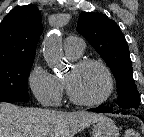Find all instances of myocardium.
Listing matches in <instances>:
<instances>
[{
    "instance_id": "1",
    "label": "myocardium",
    "mask_w": 144,
    "mask_h": 137,
    "mask_svg": "<svg viewBox=\"0 0 144 137\" xmlns=\"http://www.w3.org/2000/svg\"><path fill=\"white\" fill-rule=\"evenodd\" d=\"M88 65H95L97 67H99L105 74L106 78H107V90L104 93V95L94 101H83L80 100L78 98L75 97L70 84L68 82V80L66 78L63 79V84L68 96V99L70 100L71 103L80 106V107H96L99 106L103 103H105L112 95L113 91H114V77L113 74L110 70V68L101 60L98 59H94V58H84V59H80L74 62L73 66L75 69H81L85 66Z\"/></svg>"
}]
</instances>
